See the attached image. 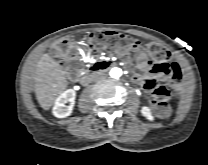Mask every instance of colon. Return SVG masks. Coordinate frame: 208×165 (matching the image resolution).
Segmentation results:
<instances>
[{
  "mask_svg": "<svg viewBox=\"0 0 208 165\" xmlns=\"http://www.w3.org/2000/svg\"><path fill=\"white\" fill-rule=\"evenodd\" d=\"M89 41L91 46L97 50L107 47L119 52H125L141 47L140 42L131 36L113 31L95 32L90 36ZM142 47L149 51L153 60H167L170 56V51L159 44H145ZM51 52L55 57H67L72 52L71 43L65 39L59 40L52 46ZM169 99L170 93L165 87L158 86L155 88L154 97L150 103L157 115L165 116L168 113Z\"/></svg>",
  "mask_w": 208,
  "mask_h": 165,
  "instance_id": "obj_1",
  "label": "colon"
}]
</instances>
